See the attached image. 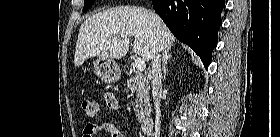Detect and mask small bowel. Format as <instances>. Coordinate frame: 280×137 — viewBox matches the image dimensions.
Instances as JSON below:
<instances>
[{
  "instance_id": "1",
  "label": "small bowel",
  "mask_w": 280,
  "mask_h": 137,
  "mask_svg": "<svg viewBox=\"0 0 280 137\" xmlns=\"http://www.w3.org/2000/svg\"><path fill=\"white\" fill-rule=\"evenodd\" d=\"M105 102L110 110L116 112L118 111V101L114 94L107 93L105 95ZM101 131L105 132L108 137H124L123 133H121V131H119L112 123L108 121H104L102 124H88L84 128L83 137H95L96 134Z\"/></svg>"
}]
</instances>
